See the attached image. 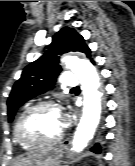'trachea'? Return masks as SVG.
I'll return each instance as SVG.
<instances>
[{
	"label": "trachea",
	"instance_id": "obj_1",
	"mask_svg": "<svg viewBox=\"0 0 135 166\" xmlns=\"http://www.w3.org/2000/svg\"><path fill=\"white\" fill-rule=\"evenodd\" d=\"M74 89H78V87H74V88H72V90H74Z\"/></svg>",
	"mask_w": 135,
	"mask_h": 166
}]
</instances>
